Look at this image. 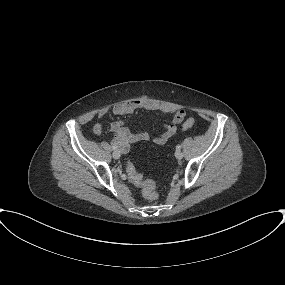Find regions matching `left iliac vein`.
<instances>
[{
    "mask_svg": "<svg viewBox=\"0 0 285 285\" xmlns=\"http://www.w3.org/2000/svg\"><path fill=\"white\" fill-rule=\"evenodd\" d=\"M175 157L177 159H182L183 158V153L180 150H176Z\"/></svg>",
    "mask_w": 285,
    "mask_h": 285,
    "instance_id": "4c4485c4",
    "label": "left iliac vein"
}]
</instances>
